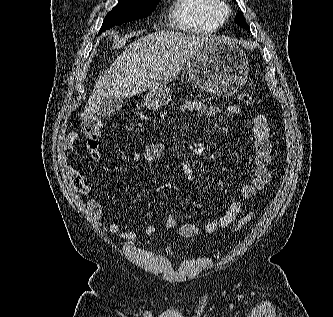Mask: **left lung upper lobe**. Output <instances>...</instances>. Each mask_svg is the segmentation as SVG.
<instances>
[{
  "label": "left lung upper lobe",
  "mask_w": 333,
  "mask_h": 317,
  "mask_svg": "<svg viewBox=\"0 0 333 317\" xmlns=\"http://www.w3.org/2000/svg\"><path fill=\"white\" fill-rule=\"evenodd\" d=\"M235 22L237 24H239L240 26H242L243 28H245L247 30H250V27L246 24L245 18H244L243 13L241 11L237 14V16L235 18Z\"/></svg>",
  "instance_id": "left-lung-upper-lobe-1"
}]
</instances>
